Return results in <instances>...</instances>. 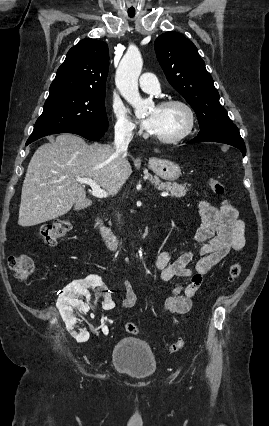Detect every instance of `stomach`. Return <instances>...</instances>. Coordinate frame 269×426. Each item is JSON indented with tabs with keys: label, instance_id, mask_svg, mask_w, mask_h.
Listing matches in <instances>:
<instances>
[{
	"label": "stomach",
	"instance_id": "1",
	"mask_svg": "<svg viewBox=\"0 0 269 426\" xmlns=\"http://www.w3.org/2000/svg\"><path fill=\"white\" fill-rule=\"evenodd\" d=\"M149 168L159 177L167 181L177 180L181 175V169L175 162L152 158L149 160Z\"/></svg>",
	"mask_w": 269,
	"mask_h": 426
}]
</instances>
